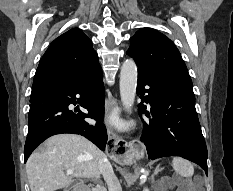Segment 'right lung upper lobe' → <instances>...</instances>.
I'll return each mask as SVG.
<instances>
[{
    "label": "right lung upper lobe",
    "instance_id": "obj_1",
    "mask_svg": "<svg viewBox=\"0 0 233 191\" xmlns=\"http://www.w3.org/2000/svg\"><path fill=\"white\" fill-rule=\"evenodd\" d=\"M99 67L91 40L80 29L73 28L51 43L38 65L33 84L78 81Z\"/></svg>",
    "mask_w": 233,
    "mask_h": 191
}]
</instances>
